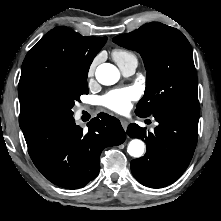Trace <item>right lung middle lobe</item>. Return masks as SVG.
Here are the masks:
<instances>
[{"mask_svg":"<svg viewBox=\"0 0 221 221\" xmlns=\"http://www.w3.org/2000/svg\"><path fill=\"white\" fill-rule=\"evenodd\" d=\"M89 66L82 71L59 75L38 89L26 100L25 107L29 120L72 116L74 102L82 94H88L87 75Z\"/></svg>","mask_w":221,"mask_h":221,"instance_id":"right-lung-middle-lobe-1","label":"right lung middle lobe"}]
</instances>
